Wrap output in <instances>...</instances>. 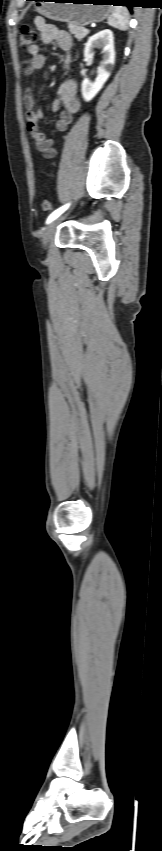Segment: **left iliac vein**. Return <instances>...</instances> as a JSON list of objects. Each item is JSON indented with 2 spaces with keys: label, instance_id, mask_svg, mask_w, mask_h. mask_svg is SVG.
Wrapping results in <instances>:
<instances>
[{
  "label": "left iliac vein",
  "instance_id": "obj_1",
  "mask_svg": "<svg viewBox=\"0 0 162 851\" xmlns=\"http://www.w3.org/2000/svg\"><path fill=\"white\" fill-rule=\"evenodd\" d=\"M66 216H67V214H63V215L57 217L56 219H54L52 222H50L47 225V227L45 228L43 235H42V244H43L44 248H46L49 245L50 241L52 240V238L54 236V233L56 231L58 224L62 220H64Z\"/></svg>",
  "mask_w": 162,
  "mask_h": 851
}]
</instances>
